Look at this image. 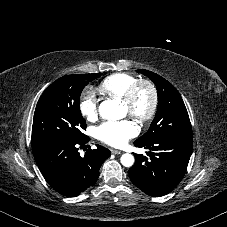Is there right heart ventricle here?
I'll return each instance as SVG.
<instances>
[{"label": "right heart ventricle", "mask_w": 227, "mask_h": 227, "mask_svg": "<svg viewBox=\"0 0 227 227\" xmlns=\"http://www.w3.org/2000/svg\"><path fill=\"white\" fill-rule=\"evenodd\" d=\"M137 80L138 79L135 76L129 73H114L100 82L97 91L105 97L121 99L125 95L127 89Z\"/></svg>", "instance_id": "1"}]
</instances>
